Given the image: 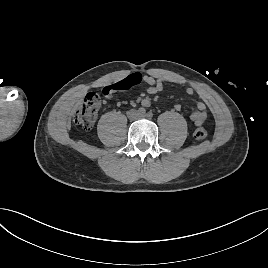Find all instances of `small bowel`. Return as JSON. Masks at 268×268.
Here are the masks:
<instances>
[{
  "label": "small bowel",
  "mask_w": 268,
  "mask_h": 268,
  "mask_svg": "<svg viewBox=\"0 0 268 268\" xmlns=\"http://www.w3.org/2000/svg\"><path fill=\"white\" fill-rule=\"evenodd\" d=\"M126 78H132L135 79L137 81V84L139 83H144L146 85V92L150 95H154L160 91L163 90L164 88V81L161 78H156L150 75H142L141 73H133ZM122 79V80H124ZM120 80V81H122ZM119 81V82H120ZM118 83V82H117ZM185 92L187 95H194L195 90L192 87H187L185 89ZM150 99L147 97H144L141 100V104L145 107L150 106ZM118 104L120 105L121 103L118 102ZM175 109L177 111H179L181 109L180 105H175ZM207 117V110H206V105L203 102H199L197 104L196 109H194L191 114H190V119L191 121L196 125V126H200L202 125Z\"/></svg>",
  "instance_id": "obj_1"
}]
</instances>
